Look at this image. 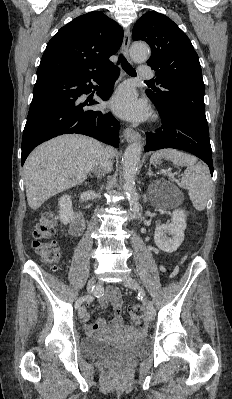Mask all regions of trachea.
<instances>
[{
	"instance_id": "trachea-1",
	"label": "trachea",
	"mask_w": 232,
	"mask_h": 399,
	"mask_svg": "<svg viewBox=\"0 0 232 399\" xmlns=\"http://www.w3.org/2000/svg\"><path fill=\"white\" fill-rule=\"evenodd\" d=\"M117 63L118 64L121 63L123 69L125 70V72L128 75H131V77H135L136 76L135 69L127 62V60L125 59L124 55H122V54L119 55ZM149 82H152V81L149 80Z\"/></svg>"
}]
</instances>
